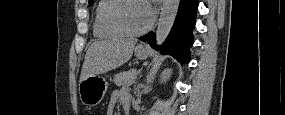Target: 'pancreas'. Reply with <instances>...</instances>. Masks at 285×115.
I'll return each instance as SVG.
<instances>
[{"mask_svg": "<svg viewBox=\"0 0 285 115\" xmlns=\"http://www.w3.org/2000/svg\"><path fill=\"white\" fill-rule=\"evenodd\" d=\"M137 74L138 72L135 69L125 72H120L113 77L112 81L117 86H120L122 84L132 83L135 80Z\"/></svg>", "mask_w": 285, "mask_h": 115, "instance_id": "obj_1", "label": "pancreas"}]
</instances>
